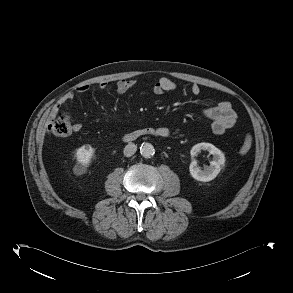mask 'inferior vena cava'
<instances>
[{
    "instance_id": "1",
    "label": "inferior vena cava",
    "mask_w": 293,
    "mask_h": 293,
    "mask_svg": "<svg viewBox=\"0 0 293 293\" xmlns=\"http://www.w3.org/2000/svg\"><path fill=\"white\" fill-rule=\"evenodd\" d=\"M137 151V146L134 143H129L124 148V155L126 157L132 156Z\"/></svg>"
}]
</instances>
